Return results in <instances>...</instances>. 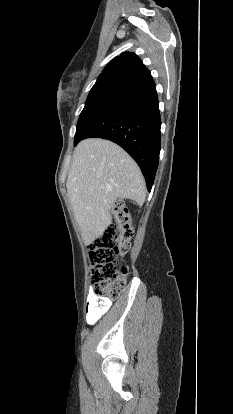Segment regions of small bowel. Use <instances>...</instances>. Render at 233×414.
<instances>
[{
    "instance_id": "1",
    "label": "small bowel",
    "mask_w": 233,
    "mask_h": 414,
    "mask_svg": "<svg viewBox=\"0 0 233 414\" xmlns=\"http://www.w3.org/2000/svg\"><path fill=\"white\" fill-rule=\"evenodd\" d=\"M89 294L86 307V322L89 325L95 324L111 307L112 301L105 297L93 294V289H87Z\"/></svg>"
}]
</instances>
